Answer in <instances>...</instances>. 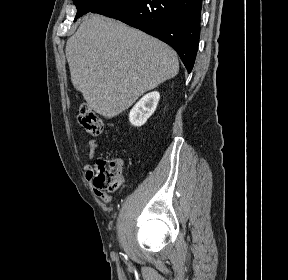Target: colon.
Wrapping results in <instances>:
<instances>
[{"label": "colon", "mask_w": 288, "mask_h": 280, "mask_svg": "<svg viewBox=\"0 0 288 280\" xmlns=\"http://www.w3.org/2000/svg\"><path fill=\"white\" fill-rule=\"evenodd\" d=\"M78 120L85 131L92 136H98L103 131L101 119L87 104L80 106ZM122 168L121 159H99L94 167V185L101 189L115 191L122 182Z\"/></svg>", "instance_id": "1"}]
</instances>
